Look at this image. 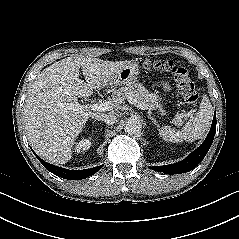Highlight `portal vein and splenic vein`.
<instances>
[{
  "label": "portal vein and splenic vein",
  "instance_id": "obj_1",
  "mask_svg": "<svg viewBox=\"0 0 239 239\" xmlns=\"http://www.w3.org/2000/svg\"><path fill=\"white\" fill-rule=\"evenodd\" d=\"M129 103L133 104L135 107L142 109V110H148V108L142 104L139 103L137 100L130 98L128 100ZM114 104L110 101H105V102H100V103H94V104H87V105H78L77 109L79 110H85V111H109L113 108ZM150 110V109H149ZM183 117L182 114H177L176 116V120H175V124H177L179 122V120H181V118Z\"/></svg>",
  "mask_w": 239,
  "mask_h": 239
}]
</instances>
